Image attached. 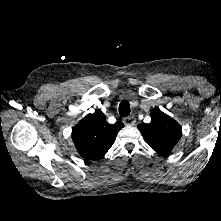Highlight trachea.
<instances>
[{"label": "trachea", "mask_w": 221, "mask_h": 221, "mask_svg": "<svg viewBox=\"0 0 221 221\" xmlns=\"http://www.w3.org/2000/svg\"><path fill=\"white\" fill-rule=\"evenodd\" d=\"M130 103L127 100H123L119 104V114L120 116H128L130 114Z\"/></svg>", "instance_id": "obj_1"}]
</instances>
